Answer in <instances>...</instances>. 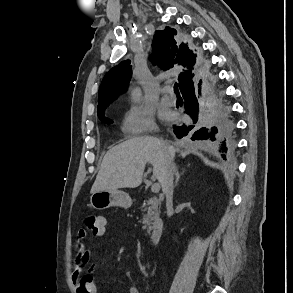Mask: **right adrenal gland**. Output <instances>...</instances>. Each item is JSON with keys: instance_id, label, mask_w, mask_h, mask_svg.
I'll list each match as a JSON object with an SVG mask.
<instances>
[{"instance_id": "right-adrenal-gland-1", "label": "right adrenal gland", "mask_w": 293, "mask_h": 293, "mask_svg": "<svg viewBox=\"0 0 293 293\" xmlns=\"http://www.w3.org/2000/svg\"><path fill=\"white\" fill-rule=\"evenodd\" d=\"M174 171H175V177H176V180H175V186H177L178 184V181H179V178H180V174L178 172V168L176 165H174Z\"/></svg>"}]
</instances>
